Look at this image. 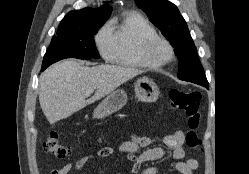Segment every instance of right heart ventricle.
<instances>
[{
  "mask_svg": "<svg viewBox=\"0 0 249 174\" xmlns=\"http://www.w3.org/2000/svg\"><path fill=\"white\" fill-rule=\"evenodd\" d=\"M114 41V50L110 61L119 66L158 69L146 60L140 52L143 42L158 36L155 28L141 14L130 12L119 20H113L108 26Z\"/></svg>",
  "mask_w": 249,
  "mask_h": 174,
  "instance_id": "1",
  "label": "right heart ventricle"
}]
</instances>
